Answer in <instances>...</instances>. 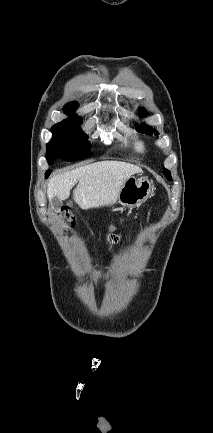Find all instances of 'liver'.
Listing matches in <instances>:
<instances>
[{
    "instance_id": "obj_1",
    "label": "liver",
    "mask_w": 213,
    "mask_h": 433,
    "mask_svg": "<svg viewBox=\"0 0 213 433\" xmlns=\"http://www.w3.org/2000/svg\"><path fill=\"white\" fill-rule=\"evenodd\" d=\"M140 172L138 166L120 161H101L82 166L53 175L48 182V199H68L71 189L78 183L73 197L82 209L106 206L117 199L124 182Z\"/></svg>"
}]
</instances>
